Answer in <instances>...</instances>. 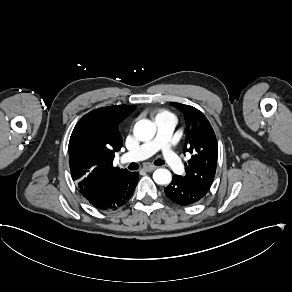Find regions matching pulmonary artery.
Wrapping results in <instances>:
<instances>
[{"instance_id":"e3ab8cb5","label":"pulmonary artery","mask_w":292,"mask_h":292,"mask_svg":"<svg viewBox=\"0 0 292 292\" xmlns=\"http://www.w3.org/2000/svg\"><path fill=\"white\" fill-rule=\"evenodd\" d=\"M159 128L157 134L151 141L142 147H135L132 150V157L135 160L150 158L160 151L161 158L174 171H181L184 168V161L173 151L171 133L177 123V119L169 113H160L157 116Z\"/></svg>"}]
</instances>
